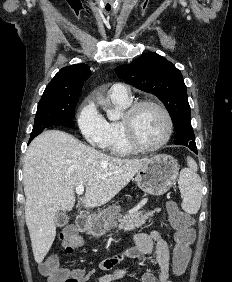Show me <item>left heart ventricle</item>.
I'll return each mask as SVG.
<instances>
[{"instance_id":"obj_1","label":"left heart ventricle","mask_w":232,"mask_h":282,"mask_svg":"<svg viewBox=\"0 0 232 282\" xmlns=\"http://www.w3.org/2000/svg\"><path fill=\"white\" fill-rule=\"evenodd\" d=\"M135 132L144 145H155L166 135L167 124L163 114L156 108L145 106L136 114Z\"/></svg>"}]
</instances>
